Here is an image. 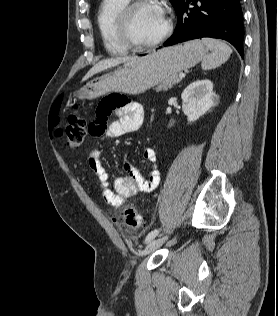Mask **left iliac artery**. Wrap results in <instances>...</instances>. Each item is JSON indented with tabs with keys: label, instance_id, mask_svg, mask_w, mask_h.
Masks as SVG:
<instances>
[{
	"label": "left iliac artery",
	"instance_id": "left-iliac-artery-1",
	"mask_svg": "<svg viewBox=\"0 0 278 316\" xmlns=\"http://www.w3.org/2000/svg\"><path fill=\"white\" fill-rule=\"evenodd\" d=\"M159 233L158 229H155L153 231H151L150 233H148V235L145 238V242H150L151 240H153Z\"/></svg>",
	"mask_w": 278,
	"mask_h": 316
}]
</instances>
